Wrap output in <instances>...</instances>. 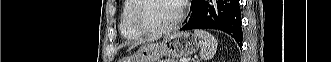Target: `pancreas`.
<instances>
[{
	"label": "pancreas",
	"mask_w": 331,
	"mask_h": 62,
	"mask_svg": "<svg viewBox=\"0 0 331 62\" xmlns=\"http://www.w3.org/2000/svg\"><path fill=\"white\" fill-rule=\"evenodd\" d=\"M163 62H176L174 58H168L167 60H163Z\"/></svg>",
	"instance_id": "1"
}]
</instances>
